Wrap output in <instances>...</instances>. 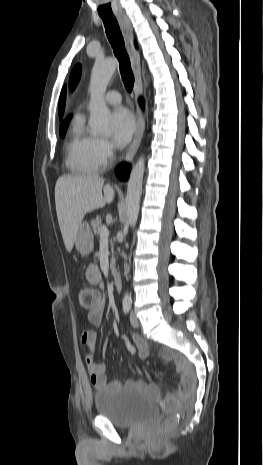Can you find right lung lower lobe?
Listing matches in <instances>:
<instances>
[{
  "label": "right lung lower lobe",
  "mask_w": 263,
  "mask_h": 465,
  "mask_svg": "<svg viewBox=\"0 0 263 465\" xmlns=\"http://www.w3.org/2000/svg\"><path fill=\"white\" fill-rule=\"evenodd\" d=\"M140 104L143 107V100L140 99ZM130 166L127 163H122L117 169L116 174L121 180H126L129 176Z\"/></svg>",
  "instance_id": "98d812e1"
}]
</instances>
